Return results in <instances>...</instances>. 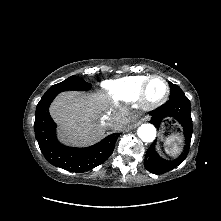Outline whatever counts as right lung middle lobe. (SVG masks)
<instances>
[{
    "label": "right lung middle lobe",
    "instance_id": "1",
    "mask_svg": "<svg viewBox=\"0 0 221 221\" xmlns=\"http://www.w3.org/2000/svg\"><path fill=\"white\" fill-rule=\"evenodd\" d=\"M91 88L92 85L85 82L82 78L71 76L63 82L51 86L43 96L58 94L68 90L86 91Z\"/></svg>",
    "mask_w": 221,
    "mask_h": 221
}]
</instances>
